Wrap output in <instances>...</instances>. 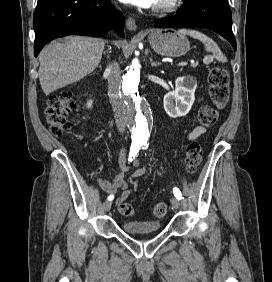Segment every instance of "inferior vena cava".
Returning <instances> with one entry per match:
<instances>
[{
    "mask_svg": "<svg viewBox=\"0 0 272 282\" xmlns=\"http://www.w3.org/2000/svg\"><path fill=\"white\" fill-rule=\"evenodd\" d=\"M106 71L108 72V95L114 112L116 126L120 133H124L126 120L120 96L121 71L119 65L115 62L109 65Z\"/></svg>",
    "mask_w": 272,
    "mask_h": 282,
    "instance_id": "obj_1",
    "label": "inferior vena cava"
}]
</instances>
